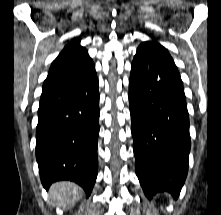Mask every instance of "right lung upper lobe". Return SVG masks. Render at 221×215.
<instances>
[{"label":"right lung upper lobe","mask_w":221,"mask_h":215,"mask_svg":"<svg viewBox=\"0 0 221 215\" xmlns=\"http://www.w3.org/2000/svg\"><path fill=\"white\" fill-rule=\"evenodd\" d=\"M94 70V63L85 47L80 46V40L73 39L53 61L42 94L68 85Z\"/></svg>","instance_id":"1"}]
</instances>
